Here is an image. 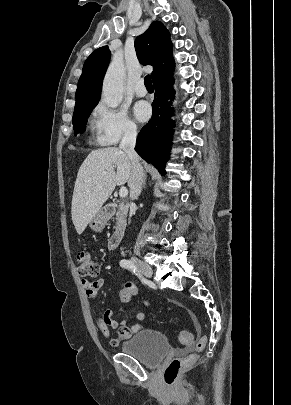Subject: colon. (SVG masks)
<instances>
[{
  "mask_svg": "<svg viewBox=\"0 0 291 405\" xmlns=\"http://www.w3.org/2000/svg\"><path fill=\"white\" fill-rule=\"evenodd\" d=\"M77 271L81 276L96 277L99 274V265L95 261L92 254L88 251H81L77 255ZM137 294L136 288L132 284H126L119 293V298L122 302H128ZM148 304L147 302H145ZM180 342L184 345L193 343V334L184 330L180 334ZM206 339L201 338L196 345L198 352L202 351L205 347ZM197 358L196 354H190L185 357L174 358L170 361L164 370V380L167 385H174L181 373V371L194 364Z\"/></svg>",
  "mask_w": 291,
  "mask_h": 405,
  "instance_id": "5ec220e1",
  "label": "colon"
}]
</instances>
